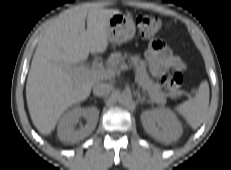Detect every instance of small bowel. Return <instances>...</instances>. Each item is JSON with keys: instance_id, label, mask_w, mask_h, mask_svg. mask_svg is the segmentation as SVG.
<instances>
[{"instance_id": "obj_1", "label": "small bowel", "mask_w": 231, "mask_h": 170, "mask_svg": "<svg viewBox=\"0 0 231 170\" xmlns=\"http://www.w3.org/2000/svg\"><path fill=\"white\" fill-rule=\"evenodd\" d=\"M150 73L155 78L163 77L169 70L185 71V62L166 46L160 39H153L145 53Z\"/></svg>"}]
</instances>
